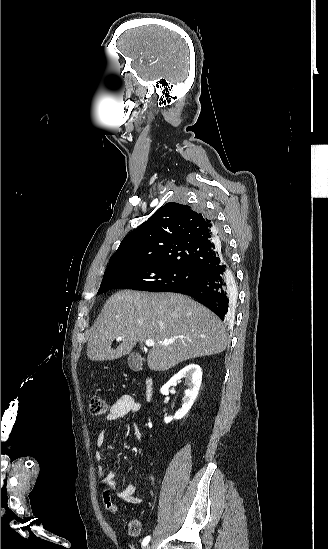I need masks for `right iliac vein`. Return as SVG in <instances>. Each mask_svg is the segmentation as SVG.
I'll use <instances>...</instances> for the list:
<instances>
[{
  "label": "right iliac vein",
  "instance_id": "1",
  "mask_svg": "<svg viewBox=\"0 0 328 549\" xmlns=\"http://www.w3.org/2000/svg\"><path fill=\"white\" fill-rule=\"evenodd\" d=\"M144 549H150V545H146Z\"/></svg>",
  "mask_w": 328,
  "mask_h": 549
}]
</instances>
